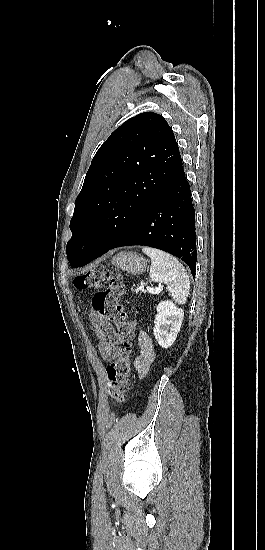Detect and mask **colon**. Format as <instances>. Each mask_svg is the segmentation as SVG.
Wrapping results in <instances>:
<instances>
[{
	"label": "colon",
	"mask_w": 265,
	"mask_h": 550,
	"mask_svg": "<svg viewBox=\"0 0 265 550\" xmlns=\"http://www.w3.org/2000/svg\"><path fill=\"white\" fill-rule=\"evenodd\" d=\"M106 288L97 292L92 298V307L106 321L127 335L133 333L135 324L128 320L121 298L125 292L123 275L114 269L98 267L73 279L76 290ZM132 345L125 343L123 352L107 367L108 396L114 403L121 404L130 388Z\"/></svg>",
	"instance_id": "colon-1"
}]
</instances>
